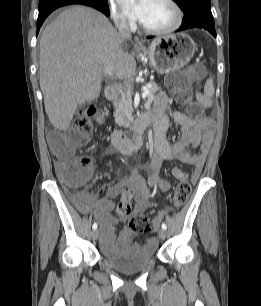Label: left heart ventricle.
<instances>
[{"label": "left heart ventricle", "mask_w": 261, "mask_h": 306, "mask_svg": "<svg viewBox=\"0 0 261 306\" xmlns=\"http://www.w3.org/2000/svg\"><path fill=\"white\" fill-rule=\"evenodd\" d=\"M174 19L172 8L163 0H149L142 18L139 20L149 27H165Z\"/></svg>", "instance_id": "1"}]
</instances>
